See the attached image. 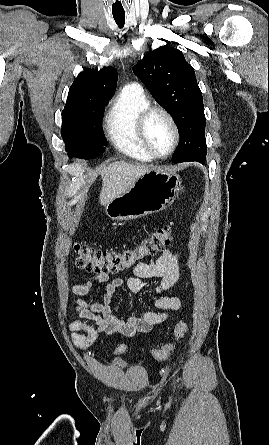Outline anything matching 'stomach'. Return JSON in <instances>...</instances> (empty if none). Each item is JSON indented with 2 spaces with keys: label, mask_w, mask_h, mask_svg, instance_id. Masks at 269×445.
Segmentation results:
<instances>
[{
  "label": "stomach",
  "mask_w": 269,
  "mask_h": 445,
  "mask_svg": "<svg viewBox=\"0 0 269 445\" xmlns=\"http://www.w3.org/2000/svg\"><path fill=\"white\" fill-rule=\"evenodd\" d=\"M181 187L180 177L171 170L152 168L140 176L128 191L105 206L115 221L138 219L165 210Z\"/></svg>",
  "instance_id": "stomach-1"
}]
</instances>
